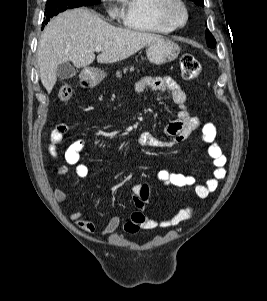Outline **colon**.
Here are the masks:
<instances>
[{"instance_id": "obj_1", "label": "colon", "mask_w": 267, "mask_h": 301, "mask_svg": "<svg viewBox=\"0 0 267 301\" xmlns=\"http://www.w3.org/2000/svg\"><path fill=\"white\" fill-rule=\"evenodd\" d=\"M200 63L198 60L190 55V54H185L181 57L180 60V72L181 76L186 79V80H192L196 78L199 73H200ZM73 96V89L70 85L65 84L62 85L59 88L58 91V98L62 102H68L72 99ZM148 189L146 186H141L140 190V199L142 201H148Z\"/></svg>"}]
</instances>
